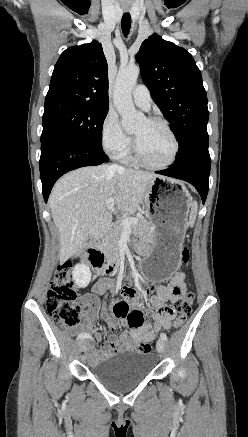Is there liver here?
Segmentation results:
<instances>
[{
    "label": "liver",
    "mask_w": 248,
    "mask_h": 437,
    "mask_svg": "<svg viewBox=\"0 0 248 437\" xmlns=\"http://www.w3.org/2000/svg\"><path fill=\"white\" fill-rule=\"evenodd\" d=\"M157 174L111 165L83 167L64 175L52 189L49 207L60 237V262L75 255L88 239L100 240L109 231L112 214L106 201L133 214L147 198Z\"/></svg>",
    "instance_id": "liver-1"
}]
</instances>
